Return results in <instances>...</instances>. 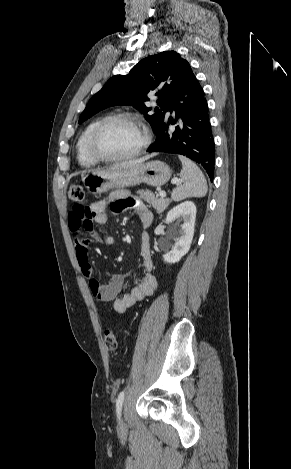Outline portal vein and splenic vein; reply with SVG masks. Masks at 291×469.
Wrapping results in <instances>:
<instances>
[{"instance_id": "1", "label": "portal vein and splenic vein", "mask_w": 291, "mask_h": 469, "mask_svg": "<svg viewBox=\"0 0 291 469\" xmlns=\"http://www.w3.org/2000/svg\"><path fill=\"white\" fill-rule=\"evenodd\" d=\"M172 183H173V184H179V183H181V181L178 180V179H173V180H172ZM159 196L162 197V198L165 197V196H166V192H165V191H160V192H159Z\"/></svg>"}]
</instances>
